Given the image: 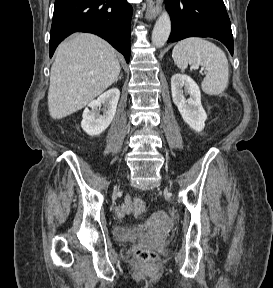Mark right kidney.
<instances>
[{"mask_svg":"<svg viewBox=\"0 0 273 288\" xmlns=\"http://www.w3.org/2000/svg\"><path fill=\"white\" fill-rule=\"evenodd\" d=\"M120 91L112 88L88 104L83 112L82 129L90 136L100 135L111 124L117 109ZM103 105V115L99 108Z\"/></svg>","mask_w":273,"mask_h":288,"instance_id":"right-kidney-1","label":"right kidney"}]
</instances>
